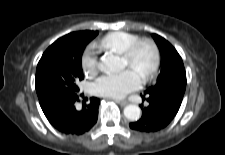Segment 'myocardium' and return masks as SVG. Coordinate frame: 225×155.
I'll use <instances>...</instances> for the list:
<instances>
[{
    "instance_id": "1",
    "label": "myocardium",
    "mask_w": 225,
    "mask_h": 155,
    "mask_svg": "<svg viewBox=\"0 0 225 155\" xmlns=\"http://www.w3.org/2000/svg\"><path fill=\"white\" fill-rule=\"evenodd\" d=\"M143 46L148 47L152 54L151 65L142 77L144 81H148L156 74L160 65V50L156 42L150 38H138L121 54L123 58L132 64L135 61L139 49Z\"/></svg>"
}]
</instances>
